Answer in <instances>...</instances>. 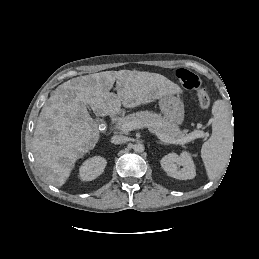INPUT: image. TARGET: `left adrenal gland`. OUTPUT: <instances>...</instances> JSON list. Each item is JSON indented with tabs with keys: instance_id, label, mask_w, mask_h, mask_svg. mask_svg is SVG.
<instances>
[{
	"instance_id": "obj_1",
	"label": "left adrenal gland",
	"mask_w": 259,
	"mask_h": 259,
	"mask_svg": "<svg viewBox=\"0 0 259 259\" xmlns=\"http://www.w3.org/2000/svg\"><path fill=\"white\" fill-rule=\"evenodd\" d=\"M157 143H158V144H163V145H166V144H167L166 142H161V141H158Z\"/></svg>"
}]
</instances>
